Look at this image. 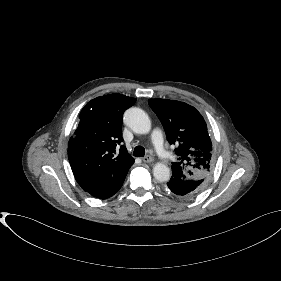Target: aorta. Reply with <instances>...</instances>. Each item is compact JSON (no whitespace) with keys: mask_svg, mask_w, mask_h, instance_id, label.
I'll use <instances>...</instances> for the list:
<instances>
[{"mask_svg":"<svg viewBox=\"0 0 281 281\" xmlns=\"http://www.w3.org/2000/svg\"><path fill=\"white\" fill-rule=\"evenodd\" d=\"M124 121L135 133L147 134L151 130L149 116L140 108L132 107L126 110ZM154 178L160 182L168 181L171 177L169 167L164 163H156L153 168Z\"/></svg>","mask_w":281,"mask_h":281,"instance_id":"762f6f07","label":"aorta"}]
</instances>
